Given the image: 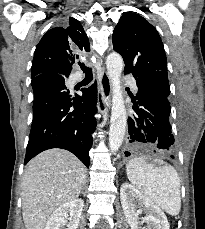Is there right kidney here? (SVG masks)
<instances>
[{
  "mask_svg": "<svg viewBox=\"0 0 205 229\" xmlns=\"http://www.w3.org/2000/svg\"><path fill=\"white\" fill-rule=\"evenodd\" d=\"M83 207L82 199L64 203L49 217L45 229H61L64 225H67V229H77Z\"/></svg>",
  "mask_w": 205,
  "mask_h": 229,
  "instance_id": "obj_1",
  "label": "right kidney"
}]
</instances>
